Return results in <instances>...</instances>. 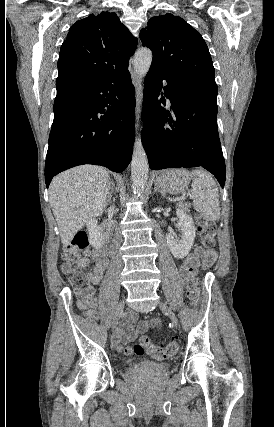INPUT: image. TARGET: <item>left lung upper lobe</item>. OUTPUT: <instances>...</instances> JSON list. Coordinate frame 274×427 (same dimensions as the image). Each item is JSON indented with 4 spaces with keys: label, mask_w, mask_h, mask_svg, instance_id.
Instances as JSON below:
<instances>
[{
    "label": "left lung upper lobe",
    "mask_w": 274,
    "mask_h": 427,
    "mask_svg": "<svg viewBox=\"0 0 274 427\" xmlns=\"http://www.w3.org/2000/svg\"><path fill=\"white\" fill-rule=\"evenodd\" d=\"M140 38L152 50L151 67L185 84L217 92L207 45L184 19L169 13L152 17Z\"/></svg>",
    "instance_id": "left-lung-upper-lobe-1"
}]
</instances>
